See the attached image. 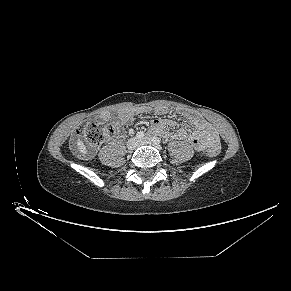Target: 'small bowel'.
Returning <instances> with one entry per match:
<instances>
[{
	"label": "small bowel",
	"mask_w": 291,
	"mask_h": 291,
	"mask_svg": "<svg viewBox=\"0 0 291 291\" xmlns=\"http://www.w3.org/2000/svg\"><path fill=\"white\" fill-rule=\"evenodd\" d=\"M141 111V109H121L117 116L122 123L128 124L133 121L134 117L139 115ZM157 111L162 112L164 109L161 108ZM100 118L102 120H109L112 118V115L110 113H102ZM189 119L195 126V129L191 133H188L185 128H180L174 133L170 132L168 129L176 126V121L173 119H155L151 123V128L168 140H183L188 142L198 152L219 144V137L216 130L202 117L191 114L189 115Z\"/></svg>",
	"instance_id": "small-bowel-1"
}]
</instances>
